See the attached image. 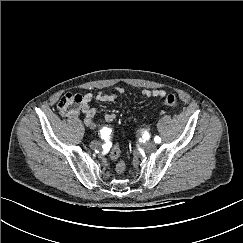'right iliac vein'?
Instances as JSON below:
<instances>
[{"label": "right iliac vein", "instance_id": "63e3f726", "mask_svg": "<svg viewBox=\"0 0 243 243\" xmlns=\"http://www.w3.org/2000/svg\"><path fill=\"white\" fill-rule=\"evenodd\" d=\"M90 147H91L92 149H97V148L100 147V142L94 140V141H92V142L90 143Z\"/></svg>", "mask_w": 243, "mask_h": 243}]
</instances>
